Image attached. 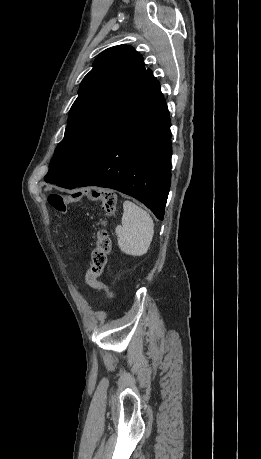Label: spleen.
I'll list each match as a JSON object with an SVG mask.
<instances>
[{"mask_svg":"<svg viewBox=\"0 0 261 459\" xmlns=\"http://www.w3.org/2000/svg\"><path fill=\"white\" fill-rule=\"evenodd\" d=\"M121 224L115 229L120 250L131 256L147 253L154 236V222L150 214L126 200L123 203Z\"/></svg>","mask_w":261,"mask_h":459,"instance_id":"1","label":"spleen"}]
</instances>
